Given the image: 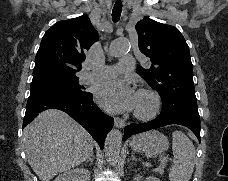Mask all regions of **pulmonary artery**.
I'll use <instances>...</instances> for the list:
<instances>
[{
  "instance_id": "e3ab8cb5",
  "label": "pulmonary artery",
  "mask_w": 228,
  "mask_h": 181,
  "mask_svg": "<svg viewBox=\"0 0 228 181\" xmlns=\"http://www.w3.org/2000/svg\"><path fill=\"white\" fill-rule=\"evenodd\" d=\"M110 53V51H109ZM121 66L115 65L114 67L106 66L102 69L101 74H90L88 79H113V74L120 70L122 71H134V57H122L120 58Z\"/></svg>"
}]
</instances>
